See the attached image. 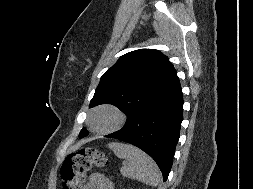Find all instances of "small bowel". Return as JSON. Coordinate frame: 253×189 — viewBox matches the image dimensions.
<instances>
[{
  "instance_id": "c3829d8e",
  "label": "small bowel",
  "mask_w": 253,
  "mask_h": 189,
  "mask_svg": "<svg viewBox=\"0 0 253 189\" xmlns=\"http://www.w3.org/2000/svg\"><path fill=\"white\" fill-rule=\"evenodd\" d=\"M85 189H114V186L111 180L104 174L94 172L89 176L88 184Z\"/></svg>"
}]
</instances>
